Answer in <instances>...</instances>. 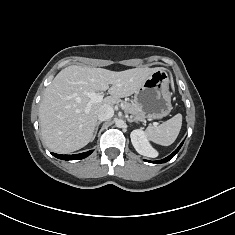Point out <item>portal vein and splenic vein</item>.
Returning <instances> with one entry per match:
<instances>
[{
    "label": "portal vein and splenic vein",
    "instance_id": "obj_1",
    "mask_svg": "<svg viewBox=\"0 0 235 235\" xmlns=\"http://www.w3.org/2000/svg\"><path fill=\"white\" fill-rule=\"evenodd\" d=\"M85 94L90 98L91 103L100 102L103 96L95 92H85Z\"/></svg>",
    "mask_w": 235,
    "mask_h": 235
}]
</instances>
